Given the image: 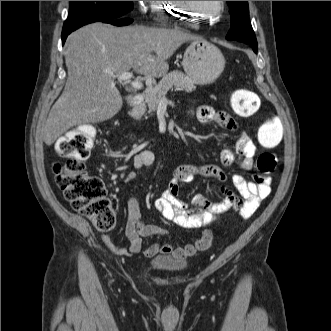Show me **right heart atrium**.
Wrapping results in <instances>:
<instances>
[{
  "instance_id": "obj_1",
  "label": "right heart atrium",
  "mask_w": 331,
  "mask_h": 331,
  "mask_svg": "<svg viewBox=\"0 0 331 331\" xmlns=\"http://www.w3.org/2000/svg\"><path fill=\"white\" fill-rule=\"evenodd\" d=\"M155 2L156 1H143V6L145 7L146 10H149V9L152 10Z\"/></svg>"
}]
</instances>
